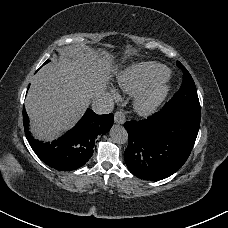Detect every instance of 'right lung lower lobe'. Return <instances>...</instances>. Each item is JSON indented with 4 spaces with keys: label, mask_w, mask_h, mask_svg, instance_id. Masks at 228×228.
Returning <instances> with one entry per match:
<instances>
[{
    "label": "right lung lower lobe",
    "mask_w": 228,
    "mask_h": 228,
    "mask_svg": "<svg viewBox=\"0 0 228 228\" xmlns=\"http://www.w3.org/2000/svg\"><path fill=\"white\" fill-rule=\"evenodd\" d=\"M113 121L112 113L97 115L87 109L70 131L52 143H43L29 134L28 116L25 109L23 111L24 130L29 144L45 164L59 171H71L84 165L93 154L95 138L107 133Z\"/></svg>",
    "instance_id": "obj_1"
}]
</instances>
